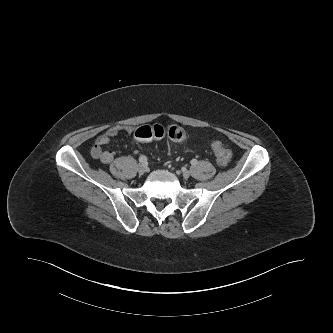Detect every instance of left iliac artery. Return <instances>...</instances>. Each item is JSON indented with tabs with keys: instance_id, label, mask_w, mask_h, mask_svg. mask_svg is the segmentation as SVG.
Segmentation results:
<instances>
[{
	"instance_id": "obj_1",
	"label": "left iliac artery",
	"mask_w": 333,
	"mask_h": 333,
	"mask_svg": "<svg viewBox=\"0 0 333 333\" xmlns=\"http://www.w3.org/2000/svg\"><path fill=\"white\" fill-rule=\"evenodd\" d=\"M191 164H192V165H196V164H197V160H196V159H192V160H191Z\"/></svg>"
}]
</instances>
